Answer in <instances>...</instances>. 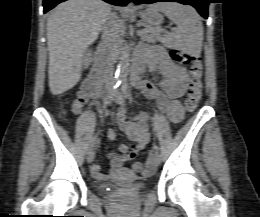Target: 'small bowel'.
Listing matches in <instances>:
<instances>
[{"instance_id":"1","label":"small bowel","mask_w":260,"mask_h":217,"mask_svg":"<svg viewBox=\"0 0 260 217\" xmlns=\"http://www.w3.org/2000/svg\"><path fill=\"white\" fill-rule=\"evenodd\" d=\"M140 68L147 65L151 74L160 75V81H156L153 76L148 75L141 77L135 84L139 90L151 103L160 111L167 114L172 123H178L183 117L182 100L188 88V73L185 68L175 65L162 49L149 50L142 60L136 61ZM99 93L85 95L79 93L73 103L72 111L80 114L83 105L88 98L94 102ZM151 115L148 112L140 113L135 119H129L126 116V109L120 108L117 111L116 119L120 128L134 141L129 147L126 144H119L116 152L110 154V172L115 173L118 169L123 168L124 164L134 159L138 153L144 149L149 141L148 123ZM107 136L110 140H115L116 133L109 129ZM92 172L98 179H104L106 174L100 171L97 164H93Z\"/></svg>"}]
</instances>
